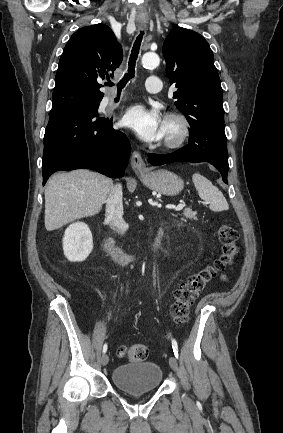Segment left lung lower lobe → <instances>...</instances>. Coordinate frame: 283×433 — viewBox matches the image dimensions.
Wrapping results in <instances>:
<instances>
[{"mask_svg":"<svg viewBox=\"0 0 283 433\" xmlns=\"http://www.w3.org/2000/svg\"><path fill=\"white\" fill-rule=\"evenodd\" d=\"M189 144L169 154H149L148 160L154 165L173 162H209L222 174L227 183L228 153L224 128L213 125L193 126L190 129Z\"/></svg>","mask_w":283,"mask_h":433,"instance_id":"0a47b994","label":"left lung lower lobe"}]
</instances>
